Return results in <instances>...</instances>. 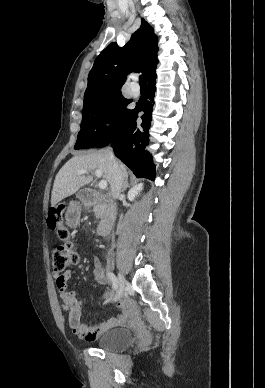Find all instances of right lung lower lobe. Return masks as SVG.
I'll list each match as a JSON object with an SVG mask.
<instances>
[{
  "mask_svg": "<svg viewBox=\"0 0 265 388\" xmlns=\"http://www.w3.org/2000/svg\"><path fill=\"white\" fill-rule=\"evenodd\" d=\"M156 75L148 80V92L140 98L135 109L131 110L123 123L115 139L110 143L114 148L115 155L121 159L138 178L155 179V169L152 158L145 150L148 144L150 123L152 120V108L156 91ZM142 123L138 125L136 119L138 113Z\"/></svg>",
  "mask_w": 265,
  "mask_h": 388,
  "instance_id": "obj_1",
  "label": "right lung lower lobe"
}]
</instances>
